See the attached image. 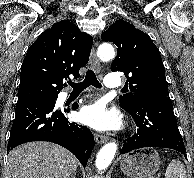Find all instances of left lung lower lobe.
Here are the masks:
<instances>
[{"label": "left lung lower lobe", "instance_id": "0a47b994", "mask_svg": "<svg viewBox=\"0 0 194 178\" xmlns=\"http://www.w3.org/2000/svg\"><path fill=\"white\" fill-rule=\"evenodd\" d=\"M127 112L138 129L124 140L121 154L146 147H163L177 150L187 158L170 99L139 98Z\"/></svg>", "mask_w": 194, "mask_h": 178}]
</instances>
